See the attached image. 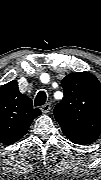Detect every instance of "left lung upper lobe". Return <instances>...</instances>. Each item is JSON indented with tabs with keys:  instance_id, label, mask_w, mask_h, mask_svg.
Masks as SVG:
<instances>
[{
	"instance_id": "obj_1",
	"label": "left lung upper lobe",
	"mask_w": 101,
	"mask_h": 180,
	"mask_svg": "<svg viewBox=\"0 0 101 180\" xmlns=\"http://www.w3.org/2000/svg\"><path fill=\"white\" fill-rule=\"evenodd\" d=\"M64 97L54 115L73 143L95 142L101 132V84L89 72L71 73L62 80Z\"/></svg>"
}]
</instances>
